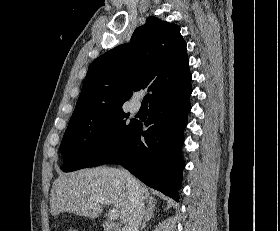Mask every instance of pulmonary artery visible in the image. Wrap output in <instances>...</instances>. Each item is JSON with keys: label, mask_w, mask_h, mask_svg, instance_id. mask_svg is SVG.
<instances>
[{"label": "pulmonary artery", "mask_w": 280, "mask_h": 231, "mask_svg": "<svg viewBox=\"0 0 280 231\" xmlns=\"http://www.w3.org/2000/svg\"><path fill=\"white\" fill-rule=\"evenodd\" d=\"M139 109H140V104H138V103H131V111H132L133 113L138 112Z\"/></svg>", "instance_id": "1"}]
</instances>
